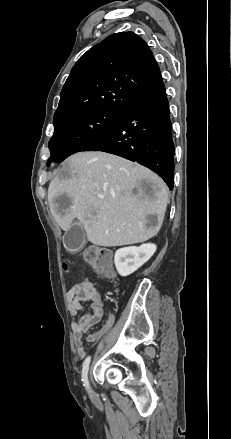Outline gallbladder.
<instances>
[{"label":"gallbladder","mask_w":231,"mask_h":439,"mask_svg":"<svg viewBox=\"0 0 231 439\" xmlns=\"http://www.w3.org/2000/svg\"><path fill=\"white\" fill-rule=\"evenodd\" d=\"M63 241L67 250L72 252L81 250L86 243L83 225L79 222H74L69 230L66 231Z\"/></svg>","instance_id":"1"}]
</instances>
